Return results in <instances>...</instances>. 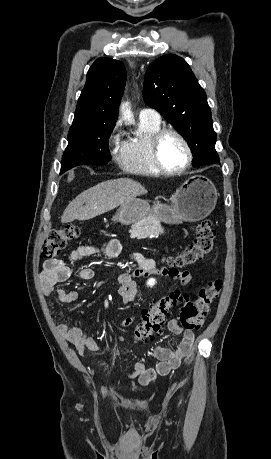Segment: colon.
Instances as JSON below:
<instances>
[{
	"instance_id": "colon-1",
	"label": "colon",
	"mask_w": 271,
	"mask_h": 459,
	"mask_svg": "<svg viewBox=\"0 0 271 459\" xmlns=\"http://www.w3.org/2000/svg\"><path fill=\"white\" fill-rule=\"evenodd\" d=\"M79 229L66 226L52 230L45 240L42 257L47 260L55 258L72 240L79 237ZM216 230L210 220L204 219L196 226V237L192 244L183 250L166 258L169 268H184L200 261L210 253L214 246ZM222 288L220 280L211 281L199 291L198 299L192 301L188 295L173 291L158 299L148 309L143 311L142 318L137 324L134 337L145 341L160 332L172 308L180 305V321L184 328L199 329L208 315L211 303L218 297Z\"/></svg>"
}]
</instances>
